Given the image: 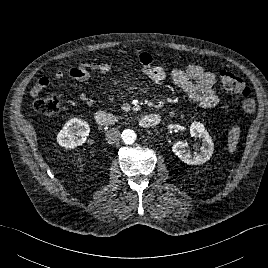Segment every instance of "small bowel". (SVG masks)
Instances as JSON below:
<instances>
[{
	"label": "small bowel",
	"instance_id": "small-bowel-1",
	"mask_svg": "<svg viewBox=\"0 0 268 268\" xmlns=\"http://www.w3.org/2000/svg\"><path fill=\"white\" fill-rule=\"evenodd\" d=\"M137 60L142 74L149 80L159 83L166 78V70L161 66L154 65L153 58L148 52H141ZM112 68V62L108 59L86 60L59 67L55 71L53 78L55 81H59L69 76L83 82L89 79L92 72L107 73ZM170 76L174 84L200 107L212 108L217 104L218 94L213 88L214 75L203 67L189 64L184 69H173L170 72ZM49 83L50 79L48 77L40 78L32 87L30 91L31 96H38ZM80 99L87 105L94 103L93 98L87 94H82Z\"/></svg>",
	"mask_w": 268,
	"mask_h": 268
}]
</instances>
